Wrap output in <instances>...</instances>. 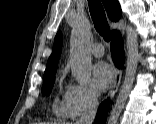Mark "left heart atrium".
Segmentation results:
<instances>
[{"instance_id": "39dd6f15", "label": "left heart atrium", "mask_w": 156, "mask_h": 124, "mask_svg": "<svg viewBox=\"0 0 156 124\" xmlns=\"http://www.w3.org/2000/svg\"><path fill=\"white\" fill-rule=\"evenodd\" d=\"M114 80V71L112 67L105 63L100 62L93 68V81L95 86L101 90L106 91L109 89Z\"/></svg>"}]
</instances>
